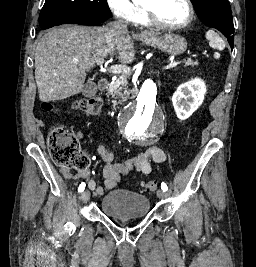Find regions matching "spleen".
I'll use <instances>...</instances> for the list:
<instances>
[{
    "instance_id": "3e777b00",
    "label": "spleen",
    "mask_w": 256,
    "mask_h": 267,
    "mask_svg": "<svg viewBox=\"0 0 256 267\" xmlns=\"http://www.w3.org/2000/svg\"><path fill=\"white\" fill-rule=\"evenodd\" d=\"M206 40H208L211 48H218V50H223V48H225L222 38H220L219 34H216L214 30H208V32H206ZM217 56H219V54H216V58Z\"/></svg>"
}]
</instances>
